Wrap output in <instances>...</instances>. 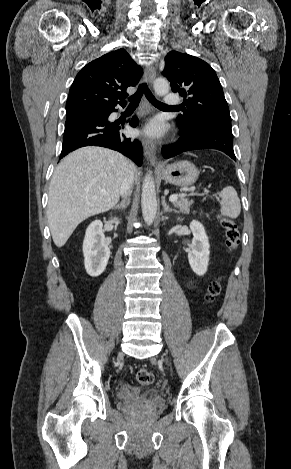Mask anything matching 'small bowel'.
Listing matches in <instances>:
<instances>
[{
	"instance_id": "small-bowel-1",
	"label": "small bowel",
	"mask_w": 291,
	"mask_h": 469,
	"mask_svg": "<svg viewBox=\"0 0 291 469\" xmlns=\"http://www.w3.org/2000/svg\"><path fill=\"white\" fill-rule=\"evenodd\" d=\"M188 285L191 287L193 284H192V282H189Z\"/></svg>"
}]
</instances>
